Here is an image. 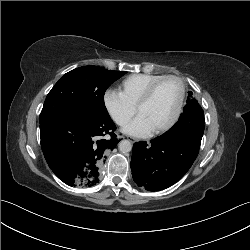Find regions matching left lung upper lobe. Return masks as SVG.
Instances as JSON below:
<instances>
[{
  "label": "left lung upper lobe",
  "instance_id": "5c2ea615",
  "mask_svg": "<svg viewBox=\"0 0 250 250\" xmlns=\"http://www.w3.org/2000/svg\"><path fill=\"white\" fill-rule=\"evenodd\" d=\"M188 100H187V104L188 103H196L197 101L194 99V98H192L191 96H192V92H188ZM186 104V105H187ZM197 104H198V102H197ZM199 105V104H198Z\"/></svg>",
  "mask_w": 250,
  "mask_h": 250
}]
</instances>
